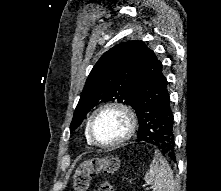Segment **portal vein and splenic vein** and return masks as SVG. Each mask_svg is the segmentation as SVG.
<instances>
[{
    "label": "portal vein and splenic vein",
    "mask_w": 221,
    "mask_h": 191,
    "mask_svg": "<svg viewBox=\"0 0 221 191\" xmlns=\"http://www.w3.org/2000/svg\"><path fill=\"white\" fill-rule=\"evenodd\" d=\"M144 187H146V185ZM146 189L149 190V187H147Z\"/></svg>",
    "instance_id": "obj_1"
}]
</instances>
